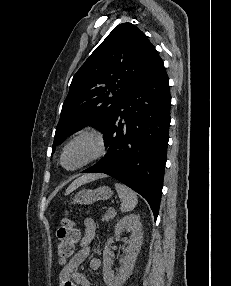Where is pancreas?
Listing matches in <instances>:
<instances>
[{
	"mask_svg": "<svg viewBox=\"0 0 231 286\" xmlns=\"http://www.w3.org/2000/svg\"><path fill=\"white\" fill-rule=\"evenodd\" d=\"M115 215H116L115 210L110 208L108 212L102 217V220L108 222L109 220L113 219Z\"/></svg>",
	"mask_w": 231,
	"mask_h": 286,
	"instance_id": "obj_1",
	"label": "pancreas"
}]
</instances>
